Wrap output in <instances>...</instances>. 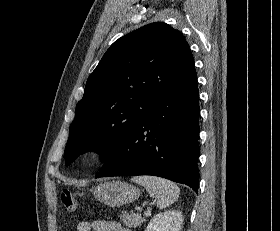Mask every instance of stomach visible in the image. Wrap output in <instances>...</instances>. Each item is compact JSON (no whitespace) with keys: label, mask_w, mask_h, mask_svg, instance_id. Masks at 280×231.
<instances>
[{"label":"stomach","mask_w":280,"mask_h":231,"mask_svg":"<svg viewBox=\"0 0 280 231\" xmlns=\"http://www.w3.org/2000/svg\"><path fill=\"white\" fill-rule=\"evenodd\" d=\"M93 195L98 201L109 205V207H120L124 203L138 199L140 189L125 183V181H104V183H99L94 187Z\"/></svg>","instance_id":"1"}]
</instances>
